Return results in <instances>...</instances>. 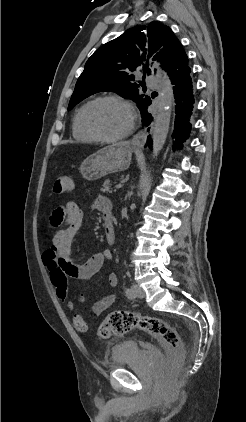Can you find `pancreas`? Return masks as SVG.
Segmentation results:
<instances>
[{
	"label": "pancreas",
	"mask_w": 246,
	"mask_h": 422,
	"mask_svg": "<svg viewBox=\"0 0 246 422\" xmlns=\"http://www.w3.org/2000/svg\"><path fill=\"white\" fill-rule=\"evenodd\" d=\"M101 192H109V193H111L112 191L110 190V180H105L104 181V184H103V187L101 188V190H100Z\"/></svg>",
	"instance_id": "1"
}]
</instances>
